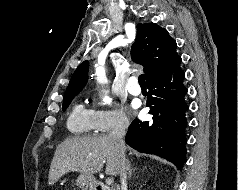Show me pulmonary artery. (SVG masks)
I'll list each match as a JSON object with an SVG mask.
<instances>
[{
  "label": "pulmonary artery",
  "mask_w": 238,
  "mask_h": 190,
  "mask_svg": "<svg viewBox=\"0 0 238 190\" xmlns=\"http://www.w3.org/2000/svg\"><path fill=\"white\" fill-rule=\"evenodd\" d=\"M127 91L131 94V95H139L141 93V89L137 84V79L135 77H131L128 80L127 83Z\"/></svg>",
  "instance_id": "1"
}]
</instances>
